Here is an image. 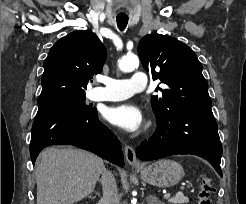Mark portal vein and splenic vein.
Listing matches in <instances>:
<instances>
[{"label":"portal vein and splenic vein","instance_id":"portal-vein-and-splenic-vein-1","mask_svg":"<svg viewBox=\"0 0 246 204\" xmlns=\"http://www.w3.org/2000/svg\"><path fill=\"white\" fill-rule=\"evenodd\" d=\"M177 195H182V193H180V192H179ZM164 198H165V199L170 198V194H166V195H164Z\"/></svg>","mask_w":246,"mask_h":204}]
</instances>
